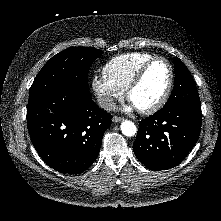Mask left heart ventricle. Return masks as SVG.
Masks as SVG:
<instances>
[{
	"instance_id": "left-heart-ventricle-1",
	"label": "left heart ventricle",
	"mask_w": 221,
	"mask_h": 221,
	"mask_svg": "<svg viewBox=\"0 0 221 221\" xmlns=\"http://www.w3.org/2000/svg\"><path fill=\"white\" fill-rule=\"evenodd\" d=\"M168 81V68L162 61H155L147 69L140 84L131 94V102L137 108L153 105L163 94Z\"/></svg>"
}]
</instances>
